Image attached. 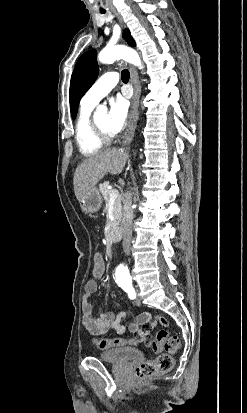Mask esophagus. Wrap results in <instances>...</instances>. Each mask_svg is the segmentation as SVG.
<instances>
[{
    "label": "esophagus",
    "mask_w": 247,
    "mask_h": 413,
    "mask_svg": "<svg viewBox=\"0 0 247 413\" xmlns=\"http://www.w3.org/2000/svg\"><path fill=\"white\" fill-rule=\"evenodd\" d=\"M113 14L116 16L119 22L122 23V18L120 17V15L116 12H113ZM130 82L133 86V95L131 98L128 125L122 140L123 145H127L132 141L137 125V120L139 118L138 108L141 93V84L139 81L138 72L135 67H130Z\"/></svg>",
    "instance_id": "obj_1"
}]
</instances>
